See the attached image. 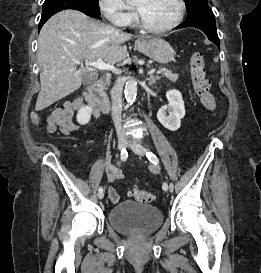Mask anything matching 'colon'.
I'll return each instance as SVG.
<instances>
[{
  "mask_svg": "<svg viewBox=\"0 0 261 273\" xmlns=\"http://www.w3.org/2000/svg\"><path fill=\"white\" fill-rule=\"evenodd\" d=\"M191 75L195 94L200 98L203 106L210 112L216 110L215 97L210 92V81L206 77V67L204 55L201 52H194L190 59ZM37 121V117L34 116ZM132 196L140 203H150L155 196L150 191L135 188L132 190Z\"/></svg>",
  "mask_w": 261,
  "mask_h": 273,
  "instance_id": "colon-1",
  "label": "colon"
}]
</instances>
